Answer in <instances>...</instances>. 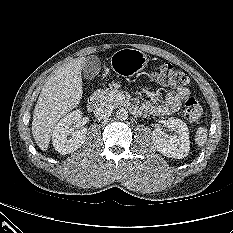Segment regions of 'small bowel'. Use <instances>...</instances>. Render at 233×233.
Listing matches in <instances>:
<instances>
[{"mask_svg": "<svg viewBox=\"0 0 233 233\" xmlns=\"http://www.w3.org/2000/svg\"><path fill=\"white\" fill-rule=\"evenodd\" d=\"M190 96L188 87H180L176 91L166 94L165 100L161 104H153L146 102L141 106V109L153 115H172L176 113L182 103Z\"/></svg>", "mask_w": 233, "mask_h": 233, "instance_id": "obj_1", "label": "small bowel"}]
</instances>
